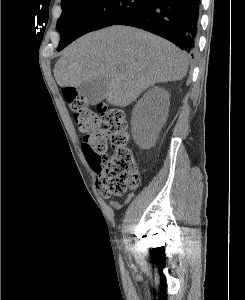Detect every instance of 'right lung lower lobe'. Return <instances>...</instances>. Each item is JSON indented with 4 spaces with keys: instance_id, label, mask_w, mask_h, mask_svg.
Returning <instances> with one entry per match:
<instances>
[{
    "instance_id": "1",
    "label": "right lung lower lobe",
    "mask_w": 245,
    "mask_h": 300,
    "mask_svg": "<svg viewBox=\"0 0 245 300\" xmlns=\"http://www.w3.org/2000/svg\"><path fill=\"white\" fill-rule=\"evenodd\" d=\"M200 0H150L116 25H128L159 35L193 53L198 33Z\"/></svg>"
}]
</instances>
